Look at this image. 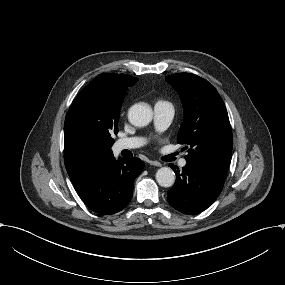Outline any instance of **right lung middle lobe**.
Returning a JSON list of instances; mask_svg holds the SVG:
<instances>
[{
  "mask_svg": "<svg viewBox=\"0 0 285 285\" xmlns=\"http://www.w3.org/2000/svg\"><path fill=\"white\" fill-rule=\"evenodd\" d=\"M118 120L119 109L88 119L72 104L65 119V143L111 149L114 143L112 134L118 133Z\"/></svg>",
  "mask_w": 285,
  "mask_h": 285,
  "instance_id": "1",
  "label": "right lung middle lobe"
}]
</instances>
